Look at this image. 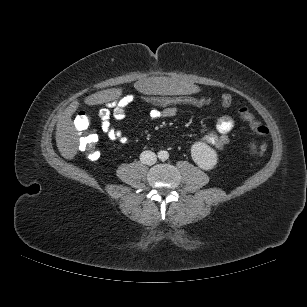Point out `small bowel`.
Segmentation results:
<instances>
[{
	"label": "small bowel",
	"instance_id": "small-bowel-1",
	"mask_svg": "<svg viewBox=\"0 0 307 307\" xmlns=\"http://www.w3.org/2000/svg\"><path fill=\"white\" fill-rule=\"evenodd\" d=\"M134 95L125 94L106 103L99 111L100 127L102 132L111 140L122 144L129 142V138L112 124V120H123L127 109L134 100ZM176 107H152L149 115L152 120L172 118L176 115ZM234 127V120L228 114H222L216 121L215 130L204 137V142L221 150L229 142V133Z\"/></svg>",
	"mask_w": 307,
	"mask_h": 307
}]
</instances>
